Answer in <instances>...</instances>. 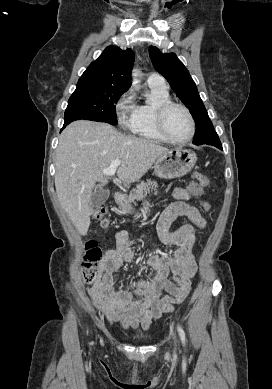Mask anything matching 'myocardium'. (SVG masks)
Returning <instances> with one entry per match:
<instances>
[{"label":"myocardium","mask_w":272,"mask_h":389,"mask_svg":"<svg viewBox=\"0 0 272 389\" xmlns=\"http://www.w3.org/2000/svg\"><path fill=\"white\" fill-rule=\"evenodd\" d=\"M173 107L181 108L186 113V115L189 119L191 131H190V134L184 139H175V138L171 137L166 130L165 117H166V114L169 111V109H171ZM155 123H156V127H157L159 133L167 141L174 143V144H184V143L189 142L190 140L193 139L195 132H196L195 120H194V117H193L191 111L189 110V108L182 103L171 101V100L166 101L157 107L156 112H155Z\"/></svg>","instance_id":"myocardium-1"}]
</instances>
